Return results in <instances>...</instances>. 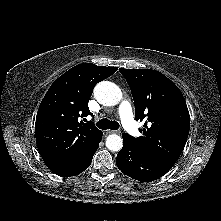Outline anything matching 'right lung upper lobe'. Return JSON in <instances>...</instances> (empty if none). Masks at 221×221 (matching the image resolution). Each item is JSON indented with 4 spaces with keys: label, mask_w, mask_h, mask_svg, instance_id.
<instances>
[{
    "label": "right lung upper lobe",
    "mask_w": 221,
    "mask_h": 221,
    "mask_svg": "<svg viewBox=\"0 0 221 221\" xmlns=\"http://www.w3.org/2000/svg\"><path fill=\"white\" fill-rule=\"evenodd\" d=\"M117 69L79 64L56 79L47 91L37 112L35 134L40 155L51 171L75 161L102 133L80 118L92 114L88 101L94 86Z\"/></svg>",
    "instance_id": "obj_1"
}]
</instances>
